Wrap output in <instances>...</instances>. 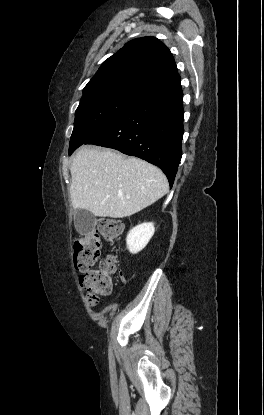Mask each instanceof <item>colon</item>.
<instances>
[{
  "label": "colon",
  "mask_w": 264,
  "mask_h": 415,
  "mask_svg": "<svg viewBox=\"0 0 264 415\" xmlns=\"http://www.w3.org/2000/svg\"><path fill=\"white\" fill-rule=\"evenodd\" d=\"M123 231V224L116 219H102L95 228L74 244V268L80 272L79 284L86 304L96 306L100 297L112 290V278L117 270L114 257H106L97 264L102 239L113 245Z\"/></svg>",
  "instance_id": "1"
}]
</instances>
